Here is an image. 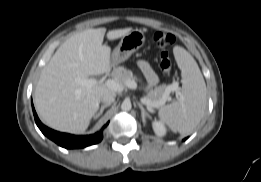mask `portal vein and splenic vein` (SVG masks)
<instances>
[{
  "mask_svg": "<svg viewBox=\"0 0 261 182\" xmlns=\"http://www.w3.org/2000/svg\"><path fill=\"white\" fill-rule=\"evenodd\" d=\"M76 82L80 85L86 86L87 88H91L93 85L98 84V81L96 79H83V78H76ZM105 85L115 91V92H121L123 91L125 88H129V89H136L137 88V83L133 80L131 81H127L126 83H121L119 81H116L114 79H108L105 82ZM171 91H176L179 95H181V93L179 92L178 89V85L177 84H173L168 86L167 88V94L164 97V100L161 101L159 104H155L153 102H151L150 100H148L146 97H143L141 99V102L144 103L145 105H147L148 107H160L162 105L165 104L168 94Z\"/></svg>",
  "mask_w": 261,
  "mask_h": 182,
  "instance_id": "1",
  "label": "portal vein and splenic vein"
}]
</instances>
